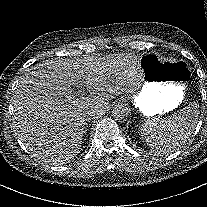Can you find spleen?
<instances>
[{
  "instance_id": "obj_1",
  "label": "spleen",
  "mask_w": 207,
  "mask_h": 207,
  "mask_svg": "<svg viewBox=\"0 0 207 207\" xmlns=\"http://www.w3.org/2000/svg\"><path fill=\"white\" fill-rule=\"evenodd\" d=\"M200 115V108L191 105L166 118L144 122L141 131L152 146L161 148L176 146L192 135Z\"/></svg>"
}]
</instances>
